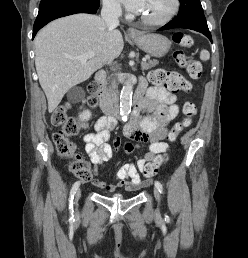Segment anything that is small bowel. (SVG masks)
Instances as JSON below:
<instances>
[{"mask_svg": "<svg viewBox=\"0 0 248 258\" xmlns=\"http://www.w3.org/2000/svg\"><path fill=\"white\" fill-rule=\"evenodd\" d=\"M176 74L179 76L178 73ZM175 102V95L162 86H154L147 90L145 97L140 99L138 110L124 129L125 135L134 141L135 149L146 145L147 152L139 157L136 164L126 163L118 169L116 185L95 180L94 186L108 192H113L117 187L135 191L153 183L152 179H147L146 182L142 181L140 173L157 157H163L168 150V144L164 139L169 131V123L179 111ZM143 112L149 114L142 116ZM115 125L114 119L106 116L100 117L95 122V131L87 133L83 137L86 144L85 150L95 166H102L111 158L112 149L108 140ZM164 163L165 159L163 158L160 166Z\"/></svg>", "mask_w": 248, "mask_h": 258, "instance_id": "small-bowel-1", "label": "small bowel"}]
</instances>
